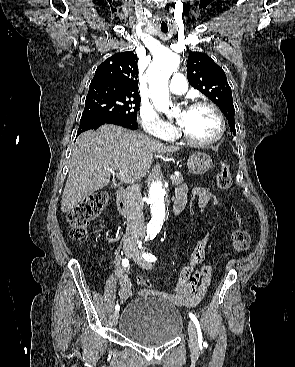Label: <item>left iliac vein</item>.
<instances>
[{
    "instance_id": "4c4485c4",
    "label": "left iliac vein",
    "mask_w": 295,
    "mask_h": 367,
    "mask_svg": "<svg viewBox=\"0 0 295 367\" xmlns=\"http://www.w3.org/2000/svg\"><path fill=\"white\" fill-rule=\"evenodd\" d=\"M133 260L140 265L144 269H150L152 265L146 261L140 254V252L136 249L133 250L132 255ZM188 334H189V347L193 354H197L199 352V344H198V338L197 333L195 329V325L192 321H189L188 323Z\"/></svg>"
}]
</instances>
